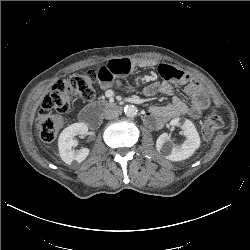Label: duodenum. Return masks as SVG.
Instances as JSON below:
<instances>
[{"label": "duodenum", "instance_id": "1", "mask_svg": "<svg viewBox=\"0 0 250 250\" xmlns=\"http://www.w3.org/2000/svg\"><path fill=\"white\" fill-rule=\"evenodd\" d=\"M121 106L117 103L98 101L80 113V120L90 128L98 127L103 113L108 111H119Z\"/></svg>", "mask_w": 250, "mask_h": 250}]
</instances>
